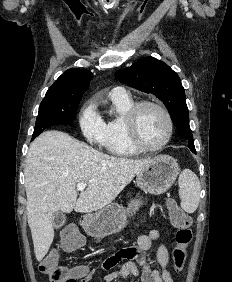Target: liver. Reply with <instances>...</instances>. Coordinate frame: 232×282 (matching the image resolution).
<instances>
[{"mask_svg":"<svg viewBox=\"0 0 232 282\" xmlns=\"http://www.w3.org/2000/svg\"><path fill=\"white\" fill-rule=\"evenodd\" d=\"M149 159L109 156L50 130L30 145L26 164V213L36 259L47 254L53 239V214L91 213L108 206L132 181ZM87 183L77 198L76 185Z\"/></svg>","mask_w":232,"mask_h":282,"instance_id":"6515ba94","label":"liver"}]
</instances>
